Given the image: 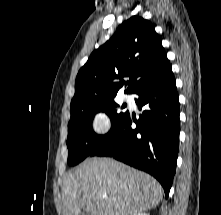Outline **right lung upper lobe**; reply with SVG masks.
Instances as JSON below:
<instances>
[{
	"label": "right lung upper lobe",
	"mask_w": 221,
	"mask_h": 215,
	"mask_svg": "<svg viewBox=\"0 0 221 215\" xmlns=\"http://www.w3.org/2000/svg\"><path fill=\"white\" fill-rule=\"evenodd\" d=\"M170 72V61L154 26L142 17L132 16L109 41L92 52L79 70L71 105L114 99L125 83L124 77L130 78L126 93L135 94Z\"/></svg>",
	"instance_id": "cb5924a9"
}]
</instances>
